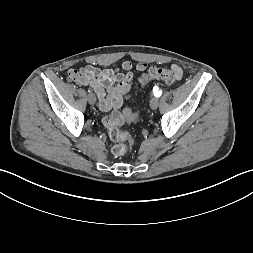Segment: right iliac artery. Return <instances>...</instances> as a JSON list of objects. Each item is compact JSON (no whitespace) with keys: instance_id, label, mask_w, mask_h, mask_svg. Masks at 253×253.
<instances>
[{"instance_id":"1","label":"right iliac artery","mask_w":253,"mask_h":253,"mask_svg":"<svg viewBox=\"0 0 253 253\" xmlns=\"http://www.w3.org/2000/svg\"><path fill=\"white\" fill-rule=\"evenodd\" d=\"M88 92L91 93V92H92V89L88 88Z\"/></svg>"}]
</instances>
